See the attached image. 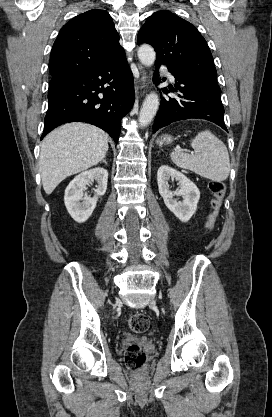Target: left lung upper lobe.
<instances>
[{
    "label": "left lung upper lobe",
    "mask_w": 272,
    "mask_h": 417,
    "mask_svg": "<svg viewBox=\"0 0 272 417\" xmlns=\"http://www.w3.org/2000/svg\"><path fill=\"white\" fill-rule=\"evenodd\" d=\"M137 41L154 47L155 63L165 64L220 90L210 49L191 23L169 11L155 12L141 27Z\"/></svg>",
    "instance_id": "left-lung-upper-lobe-1"
}]
</instances>
